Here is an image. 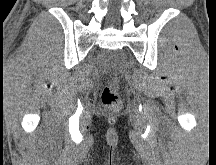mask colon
I'll list each match as a JSON object with an SVG mask.
<instances>
[{
    "label": "colon",
    "mask_w": 216,
    "mask_h": 165,
    "mask_svg": "<svg viewBox=\"0 0 216 165\" xmlns=\"http://www.w3.org/2000/svg\"><path fill=\"white\" fill-rule=\"evenodd\" d=\"M119 83L114 81L103 88L101 100L104 106L116 109L119 103Z\"/></svg>",
    "instance_id": "colon-1"
}]
</instances>
